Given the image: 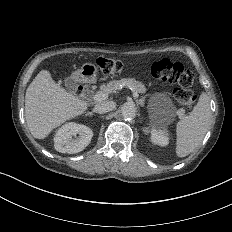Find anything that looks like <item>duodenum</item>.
I'll use <instances>...</instances> for the list:
<instances>
[{"label": "duodenum", "mask_w": 232, "mask_h": 232, "mask_svg": "<svg viewBox=\"0 0 232 232\" xmlns=\"http://www.w3.org/2000/svg\"><path fill=\"white\" fill-rule=\"evenodd\" d=\"M85 91V87L82 84H77L76 86V93L78 95H82Z\"/></svg>", "instance_id": "410a0bca"}]
</instances>
